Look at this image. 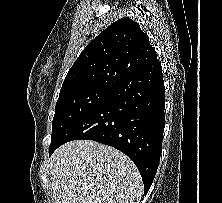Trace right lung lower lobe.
<instances>
[{
	"instance_id": "98d812e1",
	"label": "right lung lower lobe",
	"mask_w": 222,
	"mask_h": 203,
	"mask_svg": "<svg viewBox=\"0 0 222 203\" xmlns=\"http://www.w3.org/2000/svg\"><path fill=\"white\" fill-rule=\"evenodd\" d=\"M164 96L162 67L156 60L124 78L104 101L68 127L49 146V155L62 144L77 139L112 146L137 166L146 194L162 150Z\"/></svg>"
}]
</instances>
